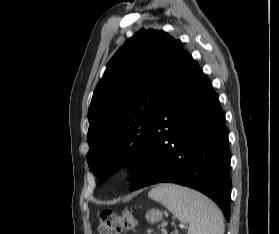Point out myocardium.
<instances>
[{"label":"myocardium","instance_id":"myocardium-1","mask_svg":"<svg viewBox=\"0 0 279 234\" xmlns=\"http://www.w3.org/2000/svg\"><path fill=\"white\" fill-rule=\"evenodd\" d=\"M134 164H135V161L133 159L124 160L119 166V173H125L127 170H129L131 167H133Z\"/></svg>","mask_w":279,"mask_h":234}]
</instances>
